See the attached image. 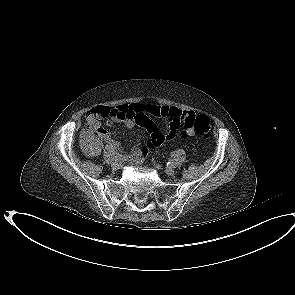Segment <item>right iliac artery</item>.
<instances>
[{
	"mask_svg": "<svg viewBox=\"0 0 295 295\" xmlns=\"http://www.w3.org/2000/svg\"><path fill=\"white\" fill-rule=\"evenodd\" d=\"M113 160H114V161L121 160V157H120V156H114V157H113Z\"/></svg>",
	"mask_w": 295,
	"mask_h": 295,
	"instance_id": "obj_1",
	"label": "right iliac artery"
}]
</instances>
